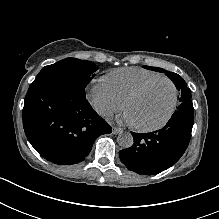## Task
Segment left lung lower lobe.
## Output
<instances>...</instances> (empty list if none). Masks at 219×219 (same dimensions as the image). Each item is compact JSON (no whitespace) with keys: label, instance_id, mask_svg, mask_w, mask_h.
Instances as JSON below:
<instances>
[{"label":"left lung lower lobe","instance_id":"0a47b994","mask_svg":"<svg viewBox=\"0 0 219 219\" xmlns=\"http://www.w3.org/2000/svg\"><path fill=\"white\" fill-rule=\"evenodd\" d=\"M193 123L194 114H175L162 129L150 133L132 132L134 144L119 152L121 162L142 175L168 169L187 149Z\"/></svg>","mask_w":219,"mask_h":219}]
</instances>
